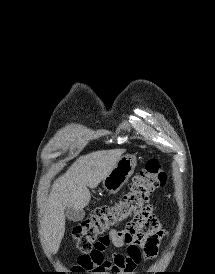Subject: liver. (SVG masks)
Wrapping results in <instances>:
<instances>
[{
	"label": "liver",
	"mask_w": 215,
	"mask_h": 274,
	"mask_svg": "<svg viewBox=\"0 0 215 274\" xmlns=\"http://www.w3.org/2000/svg\"><path fill=\"white\" fill-rule=\"evenodd\" d=\"M123 149L96 151L79 157L53 183L42 209L43 239L46 252L57 253L65 232V209H83L90 200L87 187L96 188L122 157Z\"/></svg>",
	"instance_id": "obj_1"
}]
</instances>
